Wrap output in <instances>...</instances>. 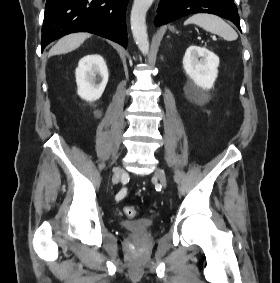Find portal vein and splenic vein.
I'll use <instances>...</instances> for the list:
<instances>
[{"label":"portal vein and splenic vein","instance_id":"portal-vein-and-splenic-vein-1","mask_svg":"<svg viewBox=\"0 0 280 283\" xmlns=\"http://www.w3.org/2000/svg\"><path fill=\"white\" fill-rule=\"evenodd\" d=\"M213 40H217V38L215 36H213Z\"/></svg>","mask_w":280,"mask_h":283}]
</instances>
